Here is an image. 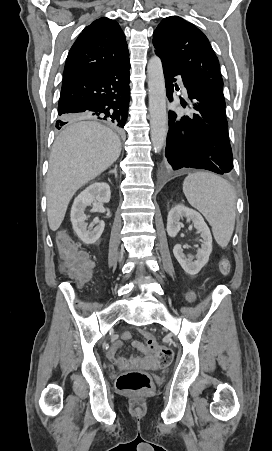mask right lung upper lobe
Returning <instances> with one entry per match:
<instances>
[{"mask_svg": "<svg viewBox=\"0 0 272 451\" xmlns=\"http://www.w3.org/2000/svg\"><path fill=\"white\" fill-rule=\"evenodd\" d=\"M129 58L124 33L119 24L103 17L86 27L66 59L63 83L95 74Z\"/></svg>", "mask_w": 272, "mask_h": 451, "instance_id": "obj_1", "label": "right lung upper lobe"}]
</instances>
